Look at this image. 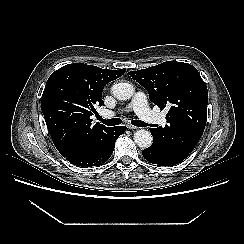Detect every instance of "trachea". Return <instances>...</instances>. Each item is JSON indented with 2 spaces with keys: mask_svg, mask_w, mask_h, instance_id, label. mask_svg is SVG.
<instances>
[{
  "mask_svg": "<svg viewBox=\"0 0 244 244\" xmlns=\"http://www.w3.org/2000/svg\"><path fill=\"white\" fill-rule=\"evenodd\" d=\"M97 119L102 122L103 124L107 125V126H115V125H119L122 123V120L119 118H113V119H107L104 120L101 116H98ZM131 124L137 127H146L148 126V124H146L145 122L141 121V120H132Z\"/></svg>",
  "mask_w": 244,
  "mask_h": 244,
  "instance_id": "1",
  "label": "trachea"
}]
</instances>
